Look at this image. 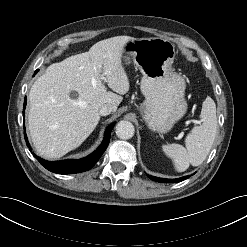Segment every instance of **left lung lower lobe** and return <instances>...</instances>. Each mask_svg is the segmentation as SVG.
<instances>
[{
	"mask_svg": "<svg viewBox=\"0 0 247 247\" xmlns=\"http://www.w3.org/2000/svg\"><path fill=\"white\" fill-rule=\"evenodd\" d=\"M147 176L151 180L157 181V182H161V183H177V182H180V181H183V180L189 178V176H184V177L177 178V179H164V178L154 177V176H151V175H147Z\"/></svg>",
	"mask_w": 247,
	"mask_h": 247,
	"instance_id": "1",
	"label": "left lung lower lobe"
}]
</instances>
